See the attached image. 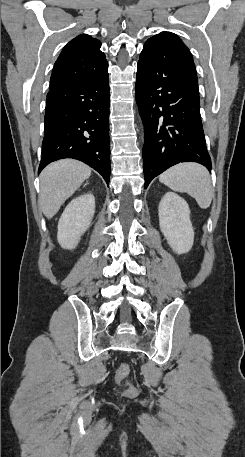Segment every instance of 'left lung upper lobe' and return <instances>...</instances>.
<instances>
[{
  "instance_id": "obj_1",
  "label": "left lung upper lobe",
  "mask_w": 245,
  "mask_h": 457,
  "mask_svg": "<svg viewBox=\"0 0 245 457\" xmlns=\"http://www.w3.org/2000/svg\"><path fill=\"white\" fill-rule=\"evenodd\" d=\"M159 43H170L175 46L178 50L181 58L189 67V69L196 75L195 64L193 62V57L189 49L185 46V44L178 38V36L171 32H161L158 35H155L149 38L145 45L144 49H150L156 46Z\"/></svg>"
}]
</instances>
